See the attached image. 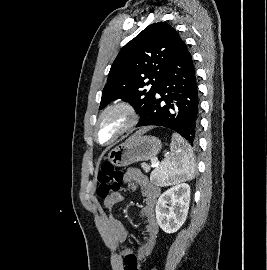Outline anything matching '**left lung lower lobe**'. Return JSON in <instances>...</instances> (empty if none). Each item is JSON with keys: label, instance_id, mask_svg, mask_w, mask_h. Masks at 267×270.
Segmentation results:
<instances>
[{"label": "left lung lower lobe", "instance_id": "1", "mask_svg": "<svg viewBox=\"0 0 267 270\" xmlns=\"http://www.w3.org/2000/svg\"><path fill=\"white\" fill-rule=\"evenodd\" d=\"M137 127L156 125L169 128L191 146L197 142L199 96L192 57L183 41L180 42L165 77Z\"/></svg>", "mask_w": 267, "mask_h": 270}]
</instances>
